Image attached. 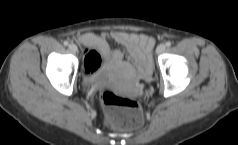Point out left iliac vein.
Segmentation results:
<instances>
[{
	"label": "left iliac vein",
	"mask_w": 238,
	"mask_h": 145,
	"mask_svg": "<svg viewBox=\"0 0 238 145\" xmlns=\"http://www.w3.org/2000/svg\"><path fill=\"white\" fill-rule=\"evenodd\" d=\"M165 49H166L165 44H160V45H158V47L156 49V53L157 54H161V53H163L165 51Z\"/></svg>",
	"instance_id": "left-iliac-vein-1"
}]
</instances>
